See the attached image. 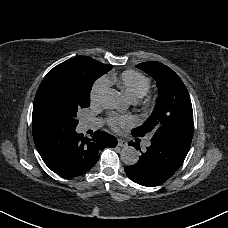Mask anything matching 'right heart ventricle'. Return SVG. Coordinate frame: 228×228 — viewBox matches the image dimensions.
I'll list each match as a JSON object with an SVG mask.
<instances>
[{"mask_svg":"<svg viewBox=\"0 0 228 228\" xmlns=\"http://www.w3.org/2000/svg\"><path fill=\"white\" fill-rule=\"evenodd\" d=\"M102 80L108 87L116 86L121 93L114 90L109 92L128 96L132 100L142 98L150 88V80L142 73L133 70H127L121 74L108 73L103 75Z\"/></svg>","mask_w":228,"mask_h":228,"instance_id":"obj_1","label":"right heart ventricle"}]
</instances>
